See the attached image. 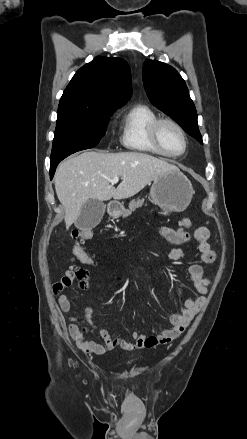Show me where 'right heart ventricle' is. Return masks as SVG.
<instances>
[{
	"label": "right heart ventricle",
	"mask_w": 247,
	"mask_h": 439,
	"mask_svg": "<svg viewBox=\"0 0 247 439\" xmlns=\"http://www.w3.org/2000/svg\"><path fill=\"white\" fill-rule=\"evenodd\" d=\"M158 118L159 115L149 105H133L121 120V144L132 151L161 154L150 138L151 126Z\"/></svg>",
	"instance_id": "obj_1"
}]
</instances>
